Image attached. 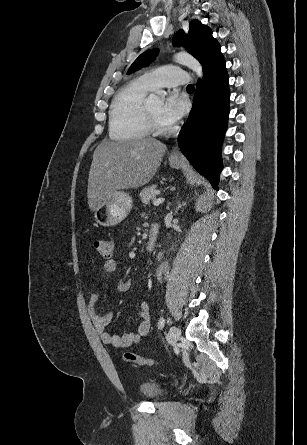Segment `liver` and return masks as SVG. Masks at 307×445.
I'll list each match as a JSON object with an SVG mask.
<instances>
[{
  "label": "liver",
  "instance_id": "6515ba94",
  "mask_svg": "<svg viewBox=\"0 0 307 445\" xmlns=\"http://www.w3.org/2000/svg\"><path fill=\"white\" fill-rule=\"evenodd\" d=\"M166 144L156 138H138L112 142L101 140L94 150L87 184L90 210H97L103 200L116 190L139 188L154 176Z\"/></svg>",
  "mask_w": 307,
  "mask_h": 445
}]
</instances>
